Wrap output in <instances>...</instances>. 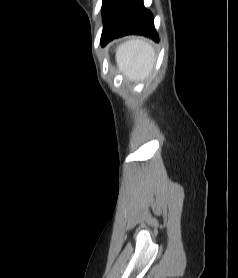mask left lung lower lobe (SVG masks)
Listing matches in <instances>:
<instances>
[{"label":"left lung lower lobe","instance_id":"0a47b994","mask_svg":"<svg viewBox=\"0 0 238 278\" xmlns=\"http://www.w3.org/2000/svg\"><path fill=\"white\" fill-rule=\"evenodd\" d=\"M102 15V45L128 34H140L158 41L153 16L144 8L143 0H103Z\"/></svg>","mask_w":238,"mask_h":278}]
</instances>
